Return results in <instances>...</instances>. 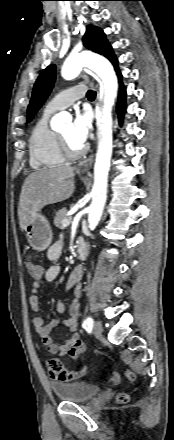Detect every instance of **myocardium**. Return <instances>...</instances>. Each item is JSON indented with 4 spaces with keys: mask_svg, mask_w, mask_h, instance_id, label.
I'll return each mask as SVG.
<instances>
[{
    "mask_svg": "<svg viewBox=\"0 0 174 440\" xmlns=\"http://www.w3.org/2000/svg\"><path fill=\"white\" fill-rule=\"evenodd\" d=\"M58 138H59L60 149L65 159L74 160L84 155L86 151L85 146H82L78 150H74L70 147L67 140L61 133H58Z\"/></svg>",
    "mask_w": 174,
    "mask_h": 440,
    "instance_id": "f54148a6",
    "label": "myocardium"
}]
</instances>
